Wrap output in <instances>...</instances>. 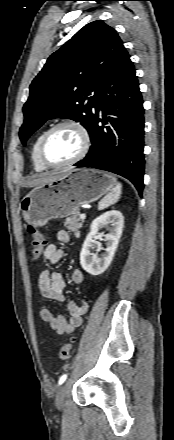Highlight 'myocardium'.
Masks as SVG:
<instances>
[{
    "mask_svg": "<svg viewBox=\"0 0 174 440\" xmlns=\"http://www.w3.org/2000/svg\"><path fill=\"white\" fill-rule=\"evenodd\" d=\"M65 126L72 127L79 133V135L81 137L80 149H79L78 153L70 160H68L64 163H60V164H52L46 160L45 154H44V149H45L47 139L56 129H58L60 127H65ZM90 145H91L90 134H89L87 128L80 121L75 120V119H63V120L58 121L55 124H53L43 134L41 141H40V144H39V152H38L39 159H40L41 163L44 166H46L47 168L59 169V168L67 167V166L73 165V164L77 163L78 161H80L81 159H83L86 156V154L88 153Z\"/></svg>",
    "mask_w": 174,
    "mask_h": 440,
    "instance_id": "myocardium-1",
    "label": "myocardium"
}]
</instances>
